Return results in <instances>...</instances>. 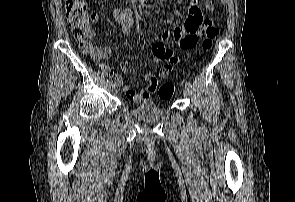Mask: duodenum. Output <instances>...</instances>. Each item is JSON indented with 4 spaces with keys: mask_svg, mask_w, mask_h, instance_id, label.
I'll return each mask as SVG.
<instances>
[{
    "mask_svg": "<svg viewBox=\"0 0 295 202\" xmlns=\"http://www.w3.org/2000/svg\"><path fill=\"white\" fill-rule=\"evenodd\" d=\"M148 1L149 0H132L133 3L140 4V5H142V4H144V3L148 2Z\"/></svg>",
    "mask_w": 295,
    "mask_h": 202,
    "instance_id": "duodenum-1",
    "label": "duodenum"
}]
</instances>
